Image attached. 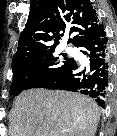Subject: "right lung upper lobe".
Returning <instances> with one entry per match:
<instances>
[{
  "label": "right lung upper lobe",
  "mask_w": 117,
  "mask_h": 136,
  "mask_svg": "<svg viewBox=\"0 0 117 136\" xmlns=\"http://www.w3.org/2000/svg\"><path fill=\"white\" fill-rule=\"evenodd\" d=\"M100 24L88 0H31L29 17L12 60V69L52 55L65 30L75 34L68 43L77 46Z\"/></svg>",
  "instance_id": "right-lung-upper-lobe-1"
}]
</instances>
